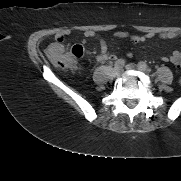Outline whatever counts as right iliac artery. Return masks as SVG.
I'll return each mask as SVG.
<instances>
[{
	"label": "right iliac artery",
	"instance_id": "obj_1",
	"mask_svg": "<svg viewBox=\"0 0 181 181\" xmlns=\"http://www.w3.org/2000/svg\"><path fill=\"white\" fill-rule=\"evenodd\" d=\"M125 64V60L124 59H118L116 62H115V66H124Z\"/></svg>",
	"mask_w": 181,
	"mask_h": 181
}]
</instances>
